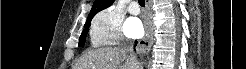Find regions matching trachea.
Here are the masks:
<instances>
[{
	"label": "trachea",
	"instance_id": "3493384b",
	"mask_svg": "<svg viewBox=\"0 0 246 69\" xmlns=\"http://www.w3.org/2000/svg\"><path fill=\"white\" fill-rule=\"evenodd\" d=\"M139 4L144 7L145 6V1L144 0H138Z\"/></svg>",
	"mask_w": 246,
	"mask_h": 69
}]
</instances>
